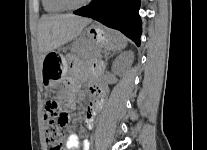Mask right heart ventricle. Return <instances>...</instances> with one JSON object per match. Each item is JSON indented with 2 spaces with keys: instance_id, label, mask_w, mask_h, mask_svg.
<instances>
[{
  "instance_id": "right-heart-ventricle-1",
  "label": "right heart ventricle",
  "mask_w": 207,
  "mask_h": 150,
  "mask_svg": "<svg viewBox=\"0 0 207 150\" xmlns=\"http://www.w3.org/2000/svg\"><path fill=\"white\" fill-rule=\"evenodd\" d=\"M42 5L44 10L50 14H59L65 11V8L62 7L57 0H42Z\"/></svg>"
}]
</instances>
